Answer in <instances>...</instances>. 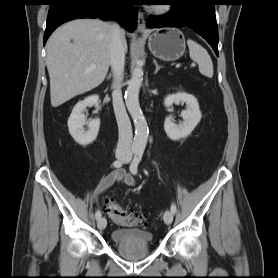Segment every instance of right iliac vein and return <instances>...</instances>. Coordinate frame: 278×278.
Segmentation results:
<instances>
[{
	"label": "right iliac vein",
	"instance_id": "1",
	"mask_svg": "<svg viewBox=\"0 0 278 278\" xmlns=\"http://www.w3.org/2000/svg\"><path fill=\"white\" fill-rule=\"evenodd\" d=\"M117 158L122 160V159L126 158V155L124 153H118ZM106 225H107V221L105 218L102 217V218L98 219L97 226L100 230L105 229Z\"/></svg>",
	"mask_w": 278,
	"mask_h": 278
}]
</instances>
